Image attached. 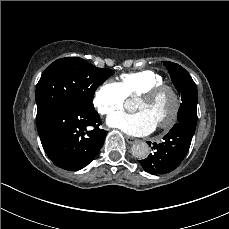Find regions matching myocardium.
I'll return each instance as SVG.
<instances>
[{"mask_svg":"<svg viewBox=\"0 0 229 229\" xmlns=\"http://www.w3.org/2000/svg\"><path fill=\"white\" fill-rule=\"evenodd\" d=\"M164 92H170V115L166 117V122L156 124L157 127L161 130H169L172 128L180 119L183 100L178 92V90L169 84H161L156 87L148 89L144 94L140 95V98H145L147 100L153 101L156 100Z\"/></svg>","mask_w":229,"mask_h":229,"instance_id":"myocardium-1","label":"myocardium"}]
</instances>
